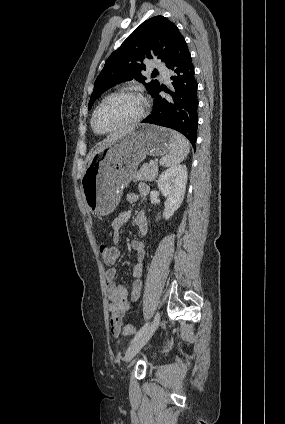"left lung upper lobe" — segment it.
I'll list each match as a JSON object with an SVG mask.
<instances>
[{"label": "left lung upper lobe", "mask_w": 285, "mask_h": 424, "mask_svg": "<svg viewBox=\"0 0 285 424\" xmlns=\"http://www.w3.org/2000/svg\"><path fill=\"white\" fill-rule=\"evenodd\" d=\"M181 36L176 25L163 16L143 22L107 59L94 83L88 109L104 91L132 79L143 83L152 94L160 84L158 80L146 82L147 78L141 74L145 70L143 61L157 58L167 64Z\"/></svg>", "instance_id": "obj_1"}]
</instances>
